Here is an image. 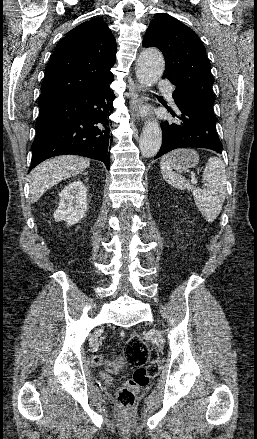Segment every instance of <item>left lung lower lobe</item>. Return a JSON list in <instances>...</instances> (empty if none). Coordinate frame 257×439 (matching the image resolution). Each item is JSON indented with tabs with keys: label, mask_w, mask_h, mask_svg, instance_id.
<instances>
[{
	"label": "left lung lower lobe",
	"mask_w": 257,
	"mask_h": 439,
	"mask_svg": "<svg viewBox=\"0 0 257 439\" xmlns=\"http://www.w3.org/2000/svg\"><path fill=\"white\" fill-rule=\"evenodd\" d=\"M173 99L179 115L169 112L178 119L175 123H161L163 140L160 151L154 159L177 148H207L222 153V143L215 130L216 117L213 109L176 88Z\"/></svg>",
	"instance_id": "left-lung-lower-lobe-1"
}]
</instances>
